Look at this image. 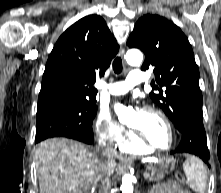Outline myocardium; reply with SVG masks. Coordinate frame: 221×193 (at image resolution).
I'll list each match as a JSON object with an SVG mask.
<instances>
[{
  "instance_id": "f54148a6",
  "label": "myocardium",
  "mask_w": 221,
  "mask_h": 193,
  "mask_svg": "<svg viewBox=\"0 0 221 193\" xmlns=\"http://www.w3.org/2000/svg\"><path fill=\"white\" fill-rule=\"evenodd\" d=\"M144 111L155 113L162 118V120L166 124V127L169 132V138H170L169 144L166 147H158V146L152 144L151 142H149L141 132L137 131L136 129H134L133 127L130 126L129 129L132 132V134L135 135L134 138L141 145H143L144 147H146L148 149L161 151V152L170 150L173 147L174 141H175L174 128H173V125H172L170 119L162 110H160L154 106H147V107H145Z\"/></svg>"
}]
</instances>
